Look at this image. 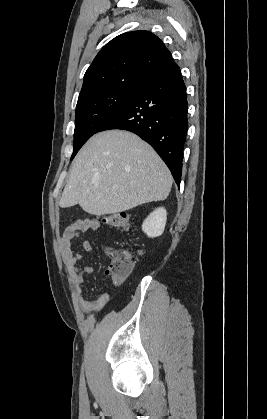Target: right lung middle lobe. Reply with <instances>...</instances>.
<instances>
[{"label": "right lung middle lobe", "mask_w": 267, "mask_h": 419, "mask_svg": "<svg viewBox=\"0 0 267 419\" xmlns=\"http://www.w3.org/2000/svg\"><path fill=\"white\" fill-rule=\"evenodd\" d=\"M140 85H129L96 93L77 102L73 154L116 114L138 91Z\"/></svg>", "instance_id": "right-lung-middle-lobe-1"}]
</instances>
